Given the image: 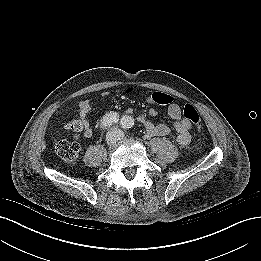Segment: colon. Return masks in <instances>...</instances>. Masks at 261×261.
Returning <instances> with one entry per match:
<instances>
[{"instance_id": "1", "label": "colon", "mask_w": 261, "mask_h": 261, "mask_svg": "<svg viewBox=\"0 0 261 261\" xmlns=\"http://www.w3.org/2000/svg\"><path fill=\"white\" fill-rule=\"evenodd\" d=\"M128 91H131V89H128ZM153 97L158 104H168L173 100L170 95L162 92H154ZM183 115L196 127L198 133H201L202 122L197 109L191 104H186L183 108ZM65 129L70 134L77 136L82 131L83 125L78 118H72L65 124ZM55 150L64 162L73 164L78 158L80 147L77 143L60 141Z\"/></svg>"}]
</instances>
